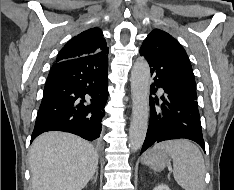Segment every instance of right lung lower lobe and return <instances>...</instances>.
Instances as JSON below:
<instances>
[{
	"mask_svg": "<svg viewBox=\"0 0 234 190\" xmlns=\"http://www.w3.org/2000/svg\"><path fill=\"white\" fill-rule=\"evenodd\" d=\"M108 54L55 63L48 75L31 142L58 130L94 141L100 137L108 98Z\"/></svg>",
	"mask_w": 234,
	"mask_h": 190,
	"instance_id": "right-lung-lower-lobe-1",
	"label": "right lung lower lobe"
}]
</instances>
